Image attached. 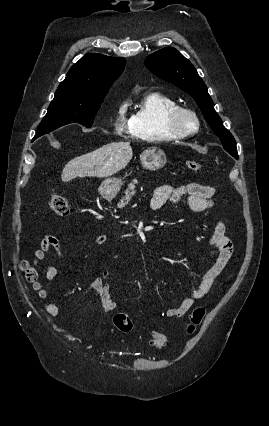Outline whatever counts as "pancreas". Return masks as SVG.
<instances>
[{
	"instance_id": "cf45deb5",
	"label": "pancreas",
	"mask_w": 269,
	"mask_h": 426,
	"mask_svg": "<svg viewBox=\"0 0 269 426\" xmlns=\"http://www.w3.org/2000/svg\"><path fill=\"white\" fill-rule=\"evenodd\" d=\"M136 184L137 180H133V182L128 185V188L125 190V196L119 202L120 208H124L129 203L132 196L135 195Z\"/></svg>"
}]
</instances>
